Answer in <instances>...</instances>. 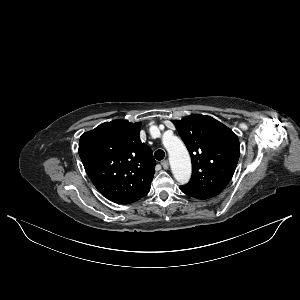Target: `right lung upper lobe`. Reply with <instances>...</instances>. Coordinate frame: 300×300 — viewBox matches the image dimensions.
Wrapping results in <instances>:
<instances>
[{
    "instance_id": "obj_1",
    "label": "right lung upper lobe",
    "mask_w": 300,
    "mask_h": 300,
    "mask_svg": "<svg viewBox=\"0 0 300 300\" xmlns=\"http://www.w3.org/2000/svg\"><path fill=\"white\" fill-rule=\"evenodd\" d=\"M140 126L114 120L80 137L79 155L90 180L118 204L135 202L150 191L156 162L151 148L139 139Z\"/></svg>"
}]
</instances>
